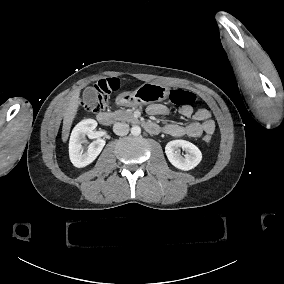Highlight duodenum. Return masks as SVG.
Segmentation results:
<instances>
[{"mask_svg": "<svg viewBox=\"0 0 284 284\" xmlns=\"http://www.w3.org/2000/svg\"><path fill=\"white\" fill-rule=\"evenodd\" d=\"M96 120L99 124L106 126L113 123L114 117L110 112H99L96 115Z\"/></svg>", "mask_w": 284, "mask_h": 284, "instance_id": "1", "label": "duodenum"}]
</instances>
